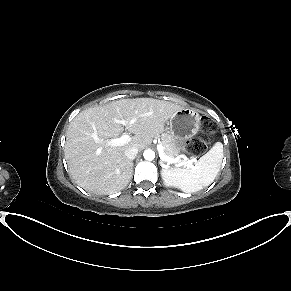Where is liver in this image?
I'll return each mask as SVG.
<instances>
[{"instance_id": "obj_1", "label": "liver", "mask_w": 291, "mask_h": 291, "mask_svg": "<svg viewBox=\"0 0 291 291\" xmlns=\"http://www.w3.org/2000/svg\"><path fill=\"white\" fill-rule=\"evenodd\" d=\"M182 109L185 108L164 100L135 98L82 111L66 133L65 158L71 177L89 192L112 194L123 190L133 174V162L125 156V150L145 149L163 131L166 122ZM125 129L134 134L130 141L110 145V140ZM94 133L98 139H93Z\"/></svg>"}]
</instances>
